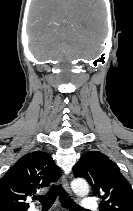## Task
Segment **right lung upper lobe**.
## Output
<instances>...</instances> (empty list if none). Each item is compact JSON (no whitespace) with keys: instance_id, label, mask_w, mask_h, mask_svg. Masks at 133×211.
Here are the masks:
<instances>
[{"instance_id":"right-lung-upper-lobe-1","label":"right lung upper lobe","mask_w":133,"mask_h":211,"mask_svg":"<svg viewBox=\"0 0 133 211\" xmlns=\"http://www.w3.org/2000/svg\"><path fill=\"white\" fill-rule=\"evenodd\" d=\"M61 174L48 153L24 155L0 179V211H27L26 198L57 181Z\"/></svg>"}]
</instances>
